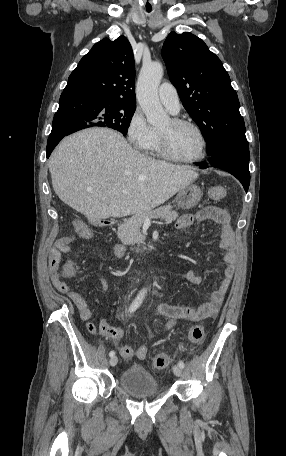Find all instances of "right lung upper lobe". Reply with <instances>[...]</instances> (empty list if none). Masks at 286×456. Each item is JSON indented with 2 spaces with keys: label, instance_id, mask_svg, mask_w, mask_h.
Segmentation results:
<instances>
[{
  "label": "right lung upper lobe",
  "instance_id": "1",
  "mask_svg": "<svg viewBox=\"0 0 286 456\" xmlns=\"http://www.w3.org/2000/svg\"><path fill=\"white\" fill-rule=\"evenodd\" d=\"M135 62L125 36L96 43L71 73L63 92L135 105Z\"/></svg>",
  "mask_w": 286,
  "mask_h": 456
}]
</instances>
